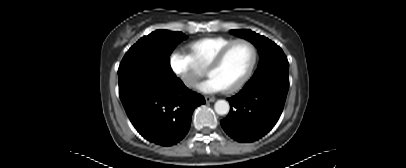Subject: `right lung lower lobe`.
I'll return each mask as SVG.
<instances>
[{"label":"right lung lower lobe","mask_w":406,"mask_h":168,"mask_svg":"<svg viewBox=\"0 0 406 168\" xmlns=\"http://www.w3.org/2000/svg\"><path fill=\"white\" fill-rule=\"evenodd\" d=\"M136 130L145 139L171 146L188 133L193 110L205 103L175 77L150 87L136 89L121 98Z\"/></svg>","instance_id":"right-lung-lower-lobe-1"}]
</instances>
